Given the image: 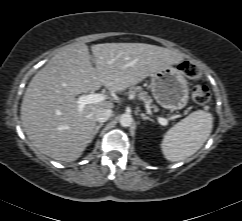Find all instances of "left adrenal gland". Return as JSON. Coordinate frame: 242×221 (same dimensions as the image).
I'll list each match as a JSON object with an SVG mask.
<instances>
[{"mask_svg": "<svg viewBox=\"0 0 242 221\" xmlns=\"http://www.w3.org/2000/svg\"><path fill=\"white\" fill-rule=\"evenodd\" d=\"M140 115H141L143 120H149L151 122H154V120L152 118H150L149 116H147L146 114L141 113Z\"/></svg>", "mask_w": 242, "mask_h": 221, "instance_id": "a2214340", "label": "left adrenal gland"}]
</instances>
